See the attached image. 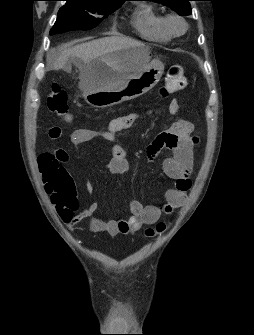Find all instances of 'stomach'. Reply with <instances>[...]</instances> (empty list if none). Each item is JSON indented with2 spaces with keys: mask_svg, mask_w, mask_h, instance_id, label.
<instances>
[{
  "mask_svg": "<svg viewBox=\"0 0 254 335\" xmlns=\"http://www.w3.org/2000/svg\"><path fill=\"white\" fill-rule=\"evenodd\" d=\"M163 71V63L150 60L145 46L125 48L90 63L81 81L83 97L95 108L117 105L147 93L159 82ZM120 73L129 77L119 85H110Z\"/></svg>",
  "mask_w": 254,
  "mask_h": 335,
  "instance_id": "stomach-1",
  "label": "stomach"
}]
</instances>
